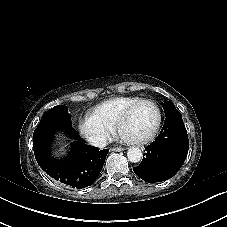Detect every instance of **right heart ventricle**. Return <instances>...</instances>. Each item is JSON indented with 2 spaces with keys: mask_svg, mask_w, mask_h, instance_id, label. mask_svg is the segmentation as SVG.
<instances>
[{
  "mask_svg": "<svg viewBox=\"0 0 227 227\" xmlns=\"http://www.w3.org/2000/svg\"><path fill=\"white\" fill-rule=\"evenodd\" d=\"M138 102H140V98L118 97L110 99L95 109L91 120L96 125L110 129Z\"/></svg>",
  "mask_w": 227,
  "mask_h": 227,
  "instance_id": "1",
  "label": "right heart ventricle"
}]
</instances>
